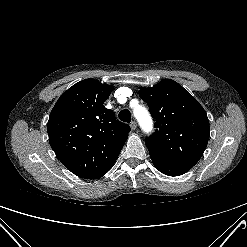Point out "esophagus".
<instances>
[{
  "mask_svg": "<svg viewBox=\"0 0 247 247\" xmlns=\"http://www.w3.org/2000/svg\"><path fill=\"white\" fill-rule=\"evenodd\" d=\"M130 128H131L132 130H135V129L137 128V123H136L135 121H132V122L130 123Z\"/></svg>",
  "mask_w": 247,
  "mask_h": 247,
  "instance_id": "esophagus-1",
  "label": "esophagus"
}]
</instances>
